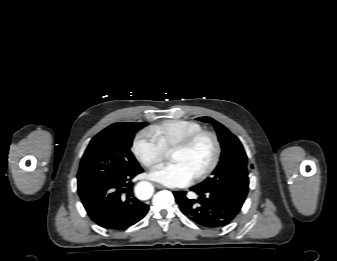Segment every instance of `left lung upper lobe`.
<instances>
[{"instance_id": "5c2ea615", "label": "left lung upper lobe", "mask_w": 337, "mask_h": 261, "mask_svg": "<svg viewBox=\"0 0 337 261\" xmlns=\"http://www.w3.org/2000/svg\"><path fill=\"white\" fill-rule=\"evenodd\" d=\"M197 120L212 123L222 147L221 158L212 176L196 187L202 191H218L243 205L249 189L247 156L239 139L226 127L210 117Z\"/></svg>"}]
</instances>
